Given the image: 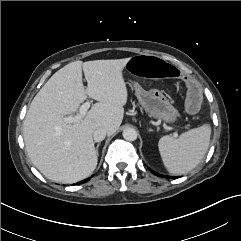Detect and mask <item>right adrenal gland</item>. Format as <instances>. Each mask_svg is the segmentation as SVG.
Segmentation results:
<instances>
[{"label": "right adrenal gland", "instance_id": "1", "mask_svg": "<svg viewBox=\"0 0 241 241\" xmlns=\"http://www.w3.org/2000/svg\"><path fill=\"white\" fill-rule=\"evenodd\" d=\"M99 146H100V143H98L97 146H96V153H97V155H99V152H98Z\"/></svg>", "mask_w": 241, "mask_h": 241}]
</instances>
